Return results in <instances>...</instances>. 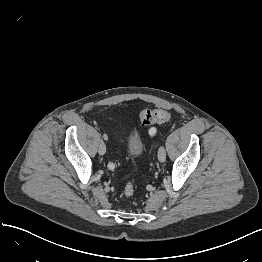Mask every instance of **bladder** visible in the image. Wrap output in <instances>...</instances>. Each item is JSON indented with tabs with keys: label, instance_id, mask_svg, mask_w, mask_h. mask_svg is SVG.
Masks as SVG:
<instances>
[{
	"label": "bladder",
	"instance_id": "obj_1",
	"mask_svg": "<svg viewBox=\"0 0 262 262\" xmlns=\"http://www.w3.org/2000/svg\"><path fill=\"white\" fill-rule=\"evenodd\" d=\"M127 150L131 157L138 158L143 155L146 149L145 137L137 132L132 131L127 135L126 138Z\"/></svg>",
	"mask_w": 262,
	"mask_h": 262
}]
</instances>
